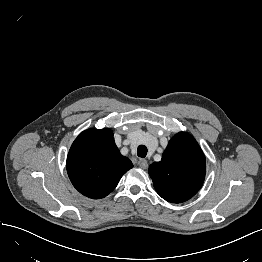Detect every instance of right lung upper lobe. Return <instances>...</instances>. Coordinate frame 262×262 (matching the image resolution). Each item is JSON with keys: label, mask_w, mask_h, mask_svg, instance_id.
Instances as JSON below:
<instances>
[{"label": "right lung upper lobe", "mask_w": 262, "mask_h": 262, "mask_svg": "<svg viewBox=\"0 0 262 262\" xmlns=\"http://www.w3.org/2000/svg\"><path fill=\"white\" fill-rule=\"evenodd\" d=\"M132 167L131 161L120 154L113 132L108 128L82 132L67 156V172L72 184L92 199L107 196Z\"/></svg>", "instance_id": "obj_1"}]
</instances>
